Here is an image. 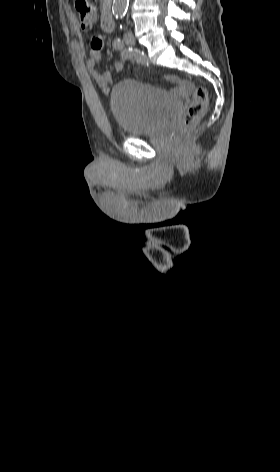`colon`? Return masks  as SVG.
Segmentation results:
<instances>
[{"label":"colon","instance_id":"obj_1","mask_svg":"<svg viewBox=\"0 0 280 472\" xmlns=\"http://www.w3.org/2000/svg\"><path fill=\"white\" fill-rule=\"evenodd\" d=\"M75 7L79 15L82 29L89 30L96 20V10L89 0H76ZM208 103L207 91L203 87H196L193 91L192 102L182 117L180 134L188 135L192 127L202 118Z\"/></svg>","mask_w":280,"mask_h":472}]
</instances>
